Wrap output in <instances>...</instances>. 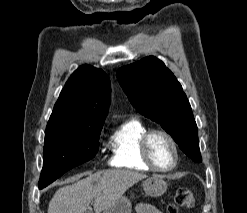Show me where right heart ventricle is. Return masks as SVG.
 Wrapping results in <instances>:
<instances>
[{"instance_id": "obj_1", "label": "right heart ventricle", "mask_w": 247, "mask_h": 213, "mask_svg": "<svg viewBox=\"0 0 247 213\" xmlns=\"http://www.w3.org/2000/svg\"><path fill=\"white\" fill-rule=\"evenodd\" d=\"M147 131L148 128L138 119H129L119 125L108 142L110 164L117 168L151 171L140 153V141Z\"/></svg>"}]
</instances>
